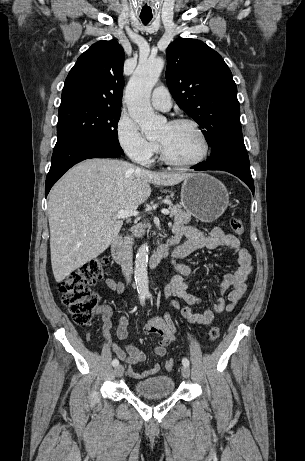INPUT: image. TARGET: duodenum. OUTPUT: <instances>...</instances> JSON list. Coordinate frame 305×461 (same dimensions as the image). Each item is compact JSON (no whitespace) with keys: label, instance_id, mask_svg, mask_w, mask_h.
Listing matches in <instances>:
<instances>
[{"label":"duodenum","instance_id":"obj_1","mask_svg":"<svg viewBox=\"0 0 305 461\" xmlns=\"http://www.w3.org/2000/svg\"><path fill=\"white\" fill-rule=\"evenodd\" d=\"M179 242V238L172 237L160 244L157 249L154 251L150 263L151 266H157L161 261H163L169 253V248L176 246ZM111 255L115 262L118 264L125 263V254L123 251V240L121 237H116L111 244Z\"/></svg>","mask_w":305,"mask_h":461}]
</instances>
